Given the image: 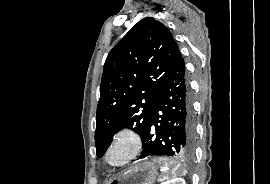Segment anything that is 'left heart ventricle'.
<instances>
[{
  "instance_id": "b2bd125f",
  "label": "left heart ventricle",
  "mask_w": 270,
  "mask_h": 184,
  "mask_svg": "<svg viewBox=\"0 0 270 184\" xmlns=\"http://www.w3.org/2000/svg\"><path fill=\"white\" fill-rule=\"evenodd\" d=\"M124 155H125V149L119 148L111 155V161L117 162V161L121 160Z\"/></svg>"
}]
</instances>
